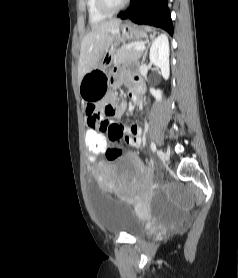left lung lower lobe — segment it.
I'll list each match as a JSON object with an SVG mask.
<instances>
[{"instance_id":"1","label":"left lung lower lobe","mask_w":238,"mask_h":278,"mask_svg":"<svg viewBox=\"0 0 238 278\" xmlns=\"http://www.w3.org/2000/svg\"><path fill=\"white\" fill-rule=\"evenodd\" d=\"M168 0H132L130 7L121 15L137 24L160 27L173 35V26L168 10Z\"/></svg>"}]
</instances>
